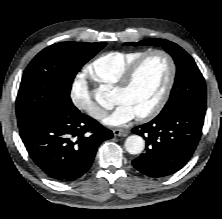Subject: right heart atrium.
I'll use <instances>...</instances> for the list:
<instances>
[{
    "mask_svg": "<svg viewBox=\"0 0 222 219\" xmlns=\"http://www.w3.org/2000/svg\"><path fill=\"white\" fill-rule=\"evenodd\" d=\"M69 97L75 108L86 113L95 120H101L105 112L93 100L89 86L84 76L76 75L70 85Z\"/></svg>",
    "mask_w": 222,
    "mask_h": 219,
    "instance_id": "1",
    "label": "right heart atrium"
}]
</instances>
